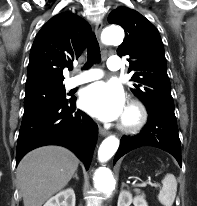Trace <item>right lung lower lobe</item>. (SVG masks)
Wrapping results in <instances>:
<instances>
[{"mask_svg": "<svg viewBox=\"0 0 197 206\" xmlns=\"http://www.w3.org/2000/svg\"><path fill=\"white\" fill-rule=\"evenodd\" d=\"M98 126L76 109L75 99L49 105L23 115L16 152V165L32 149L61 145L73 151L89 168Z\"/></svg>", "mask_w": 197, "mask_h": 206, "instance_id": "right-lung-lower-lobe-1", "label": "right lung lower lobe"}]
</instances>
